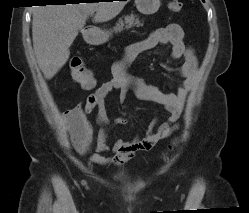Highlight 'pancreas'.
Masks as SVG:
<instances>
[{
  "mask_svg": "<svg viewBox=\"0 0 249 213\" xmlns=\"http://www.w3.org/2000/svg\"><path fill=\"white\" fill-rule=\"evenodd\" d=\"M134 26L140 27L142 26V24L136 15L130 14L120 18L113 30L115 33H118L123 31L124 29H130Z\"/></svg>",
  "mask_w": 249,
  "mask_h": 213,
  "instance_id": "cf45deb5",
  "label": "pancreas"
}]
</instances>
